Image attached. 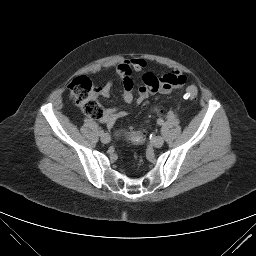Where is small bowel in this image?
Returning <instances> with one entry per match:
<instances>
[{"mask_svg": "<svg viewBox=\"0 0 256 256\" xmlns=\"http://www.w3.org/2000/svg\"><path fill=\"white\" fill-rule=\"evenodd\" d=\"M145 60L133 58L123 60L117 66V73L121 77L124 87L123 99L126 103L144 102L151 94H170L176 89H180L186 82V77L182 72L173 70L163 76L157 77L153 73L147 72L143 75L142 84L134 93L133 72H140L146 68ZM112 88V82L106 83L101 89V95L108 97ZM127 113L116 108H107L101 121L107 126H113L119 119L125 117Z\"/></svg>", "mask_w": 256, "mask_h": 256, "instance_id": "c3829d8e", "label": "small bowel"}]
</instances>
